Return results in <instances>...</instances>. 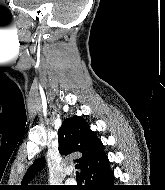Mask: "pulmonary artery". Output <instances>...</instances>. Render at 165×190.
Here are the masks:
<instances>
[{"label": "pulmonary artery", "mask_w": 165, "mask_h": 190, "mask_svg": "<svg viewBox=\"0 0 165 190\" xmlns=\"http://www.w3.org/2000/svg\"><path fill=\"white\" fill-rule=\"evenodd\" d=\"M71 173H72L71 170H68V171H67V174H68V175H71ZM66 182H67L68 184H73V183H75V180H74V178L69 177Z\"/></svg>", "instance_id": "pulmonary-artery-1"}]
</instances>
